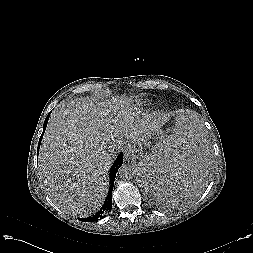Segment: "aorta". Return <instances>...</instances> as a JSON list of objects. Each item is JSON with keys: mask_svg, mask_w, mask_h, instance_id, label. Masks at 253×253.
Instances as JSON below:
<instances>
[{"mask_svg": "<svg viewBox=\"0 0 253 253\" xmlns=\"http://www.w3.org/2000/svg\"><path fill=\"white\" fill-rule=\"evenodd\" d=\"M134 173H135V170L133 166L128 165V164H123L118 170V175L123 180L131 179Z\"/></svg>", "mask_w": 253, "mask_h": 253, "instance_id": "762f6f07", "label": "aorta"}]
</instances>
